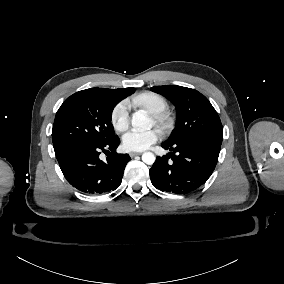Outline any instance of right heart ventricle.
Wrapping results in <instances>:
<instances>
[{
  "label": "right heart ventricle",
  "mask_w": 284,
  "mask_h": 284,
  "mask_svg": "<svg viewBox=\"0 0 284 284\" xmlns=\"http://www.w3.org/2000/svg\"><path fill=\"white\" fill-rule=\"evenodd\" d=\"M139 103L154 115H158L168 108L167 100L162 95L152 91L143 93L139 98Z\"/></svg>",
  "instance_id": "obj_1"
}]
</instances>
